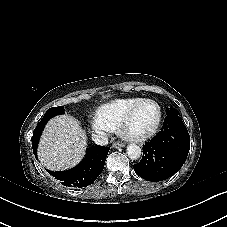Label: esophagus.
Here are the masks:
<instances>
[{
    "instance_id": "1",
    "label": "esophagus",
    "mask_w": 227,
    "mask_h": 227,
    "mask_svg": "<svg viewBox=\"0 0 227 227\" xmlns=\"http://www.w3.org/2000/svg\"><path fill=\"white\" fill-rule=\"evenodd\" d=\"M124 146H125V143H123V142H114V143L112 144V147H113V148L124 147Z\"/></svg>"
}]
</instances>
